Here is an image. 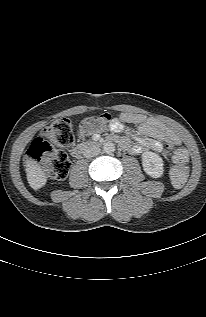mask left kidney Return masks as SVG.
Masks as SVG:
<instances>
[{"label": "left kidney", "mask_w": 206, "mask_h": 317, "mask_svg": "<svg viewBox=\"0 0 206 317\" xmlns=\"http://www.w3.org/2000/svg\"><path fill=\"white\" fill-rule=\"evenodd\" d=\"M142 166L145 173L153 178H159L163 174V160L153 152H144L142 154Z\"/></svg>", "instance_id": "5707ae66"}]
</instances>
